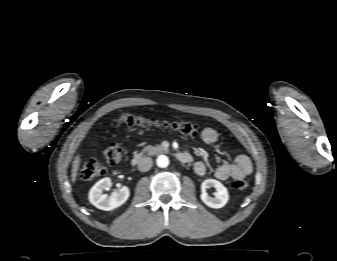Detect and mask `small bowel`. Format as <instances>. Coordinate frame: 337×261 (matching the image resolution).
<instances>
[{"mask_svg":"<svg viewBox=\"0 0 337 261\" xmlns=\"http://www.w3.org/2000/svg\"><path fill=\"white\" fill-rule=\"evenodd\" d=\"M219 135L213 128H204L201 132V140L212 145L217 142ZM195 173L199 176H204L207 168L204 162L198 161L194 166ZM253 170L250 158L244 154H238L234 157L231 163H223L219 165L214 172V175L219 180H227L229 178L241 179L251 174Z\"/></svg>","mask_w":337,"mask_h":261,"instance_id":"c3829d8e","label":"small bowel"}]
</instances>
